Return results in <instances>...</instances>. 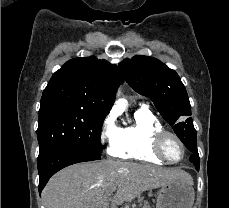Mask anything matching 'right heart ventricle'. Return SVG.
Returning <instances> with one entry per match:
<instances>
[{
	"label": "right heart ventricle",
	"instance_id": "obj_1",
	"mask_svg": "<svg viewBox=\"0 0 229 208\" xmlns=\"http://www.w3.org/2000/svg\"><path fill=\"white\" fill-rule=\"evenodd\" d=\"M163 129L162 123L142 105L134 112L132 123L119 129V138L112 153L124 160L166 165L168 162L164 158H157V153L150 152L156 143L157 133Z\"/></svg>",
	"mask_w": 229,
	"mask_h": 208
}]
</instances>
